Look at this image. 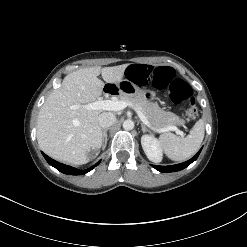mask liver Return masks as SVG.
<instances>
[{"mask_svg": "<svg viewBox=\"0 0 247 247\" xmlns=\"http://www.w3.org/2000/svg\"><path fill=\"white\" fill-rule=\"evenodd\" d=\"M129 64L76 70L53 90L41 107L37 121V140L40 148L50 157L75 165L89 161L87 153L98 151L102 145L99 125L101 110L83 107L100 98L105 83L123 80ZM102 75L105 83L98 79ZM78 108H72L73 106Z\"/></svg>", "mask_w": 247, "mask_h": 247, "instance_id": "obj_1", "label": "liver"}]
</instances>
